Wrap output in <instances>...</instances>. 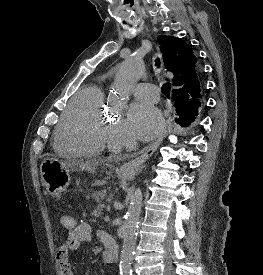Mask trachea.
Listing matches in <instances>:
<instances>
[{
    "instance_id": "trachea-1",
    "label": "trachea",
    "mask_w": 263,
    "mask_h": 275,
    "mask_svg": "<svg viewBox=\"0 0 263 275\" xmlns=\"http://www.w3.org/2000/svg\"><path fill=\"white\" fill-rule=\"evenodd\" d=\"M156 66H160V61L158 58L156 59ZM170 89L171 85L168 82L164 83L161 87L162 93L168 98L170 97Z\"/></svg>"
}]
</instances>
